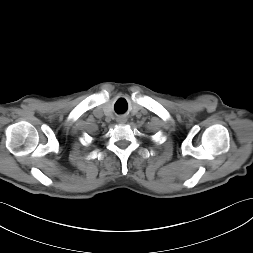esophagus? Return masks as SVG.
Returning <instances> with one entry per match:
<instances>
[{
  "instance_id": "34e87169",
  "label": "esophagus",
  "mask_w": 253,
  "mask_h": 253,
  "mask_svg": "<svg viewBox=\"0 0 253 253\" xmlns=\"http://www.w3.org/2000/svg\"><path fill=\"white\" fill-rule=\"evenodd\" d=\"M118 122H119V123H124V122H125V119H124V118H119V119H118Z\"/></svg>"
}]
</instances>
